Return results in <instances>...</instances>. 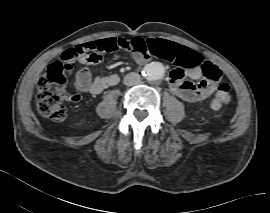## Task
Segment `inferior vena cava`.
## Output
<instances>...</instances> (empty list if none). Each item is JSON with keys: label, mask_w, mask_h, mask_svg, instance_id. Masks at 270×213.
I'll list each match as a JSON object with an SVG mask.
<instances>
[{"label": "inferior vena cava", "mask_w": 270, "mask_h": 213, "mask_svg": "<svg viewBox=\"0 0 270 213\" xmlns=\"http://www.w3.org/2000/svg\"><path fill=\"white\" fill-rule=\"evenodd\" d=\"M141 77L136 72H131L124 77L123 83L127 86H132L140 83Z\"/></svg>", "instance_id": "1"}]
</instances>
